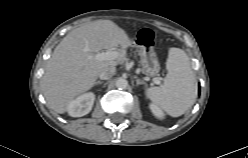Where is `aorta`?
<instances>
[{"instance_id":"aorta-1","label":"aorta","mask_w":248,"mask_h":158,"mask_svg":"<svg viewBox=\"0 0 248 158\" xmlns=\"http://www.w3.org/2000/svg\"><path fill=\"white\" fill-rule=\"evenodd\" d=\"M116 86L119 88V89H125L128 87V81L124 78H119L117 81H116Z\"/></svg>"}]
</instances>
